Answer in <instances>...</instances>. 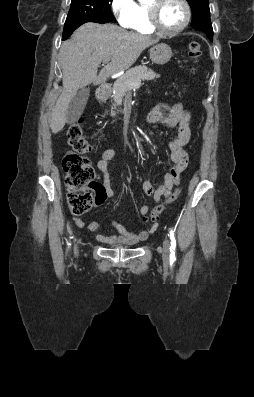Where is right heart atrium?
Wrapping results in <instances>:
<instances>
[{
    "label": "right heart atrium",
    "mask_w": 254,
    "mask_h": 397,
    "mask_svg": "<svg viewBox=\"0 0 254 397\" xmlns=\"http://www.w3.org/2000/svg\"><path fill=\"white\" fill-rule=\"evenodd\" d=\"M111 9L121 27H132L137 12L134 0H111Z\"/></svg>",
    "instance_id": "obj_1"
}]
</instances>
